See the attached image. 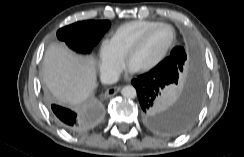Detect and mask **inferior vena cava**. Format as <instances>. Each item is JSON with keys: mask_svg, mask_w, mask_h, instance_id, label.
I'll return each instance as SVG.
<instances>
[{"mask_svg": "<svg viewBox=\"0 0 244 157\" xmlns=\"http://www.w3.org/2000/svg\"><path fill=\"white\" fill-rule=\"evenodd\" d=\"M119 79V75L115 72H109V73H105L102 76V82L104 84H113L116 83Z\"/></svg>", "mask_w": 244, "mask_h": 157, "instance_id": "inferior-vena-cava-1", "label": "inferior vena cava"}]
</instances>
